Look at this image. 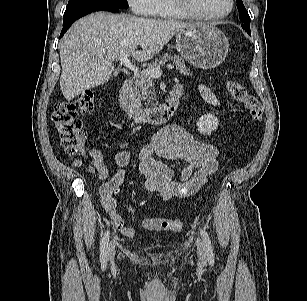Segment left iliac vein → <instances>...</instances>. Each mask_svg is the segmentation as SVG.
<instances>
[{
    "mask_svg": "<svg viewBox=\"0 0 307 301\" xmlns=\"http://www.w3.org/2000/svg\"><path fill=\"white\" fill-rule=\"evenodd\" d=\"M196 245H197V254H198L199 261L201 263H205L206 262V254H205V248H204V244H203L202 240L198 238L197 241H196Z\"/></svg>",
    "mask_w": 307,
    "mask_h": 301,
    "instance_id": "left-iliac-vein-1",
    "label": "left iliac vein"
}]
</instances>
